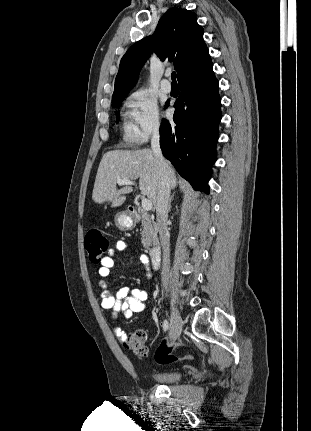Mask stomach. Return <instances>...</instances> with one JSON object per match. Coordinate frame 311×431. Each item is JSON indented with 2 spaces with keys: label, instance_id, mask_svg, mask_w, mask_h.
<instances>
[{
  "label": "stomach",
  "instance_id": "obj_1",
  "mask_svg": "<svg viewBox=\"0 0 311 431\" xmlns=\"http://www.w3.org/2000/svg\"><path fill=\"white\" fill-rule=\"evenodd\" d=\"M115 225L121 231H128V229H133L136 225V219L127 212H118L114 217Z\"/></svg>",
  "mask_w": 311,
  "mask_h": 431
}]
</instances>
